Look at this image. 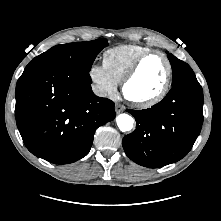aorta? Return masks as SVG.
<instances>
[{
    "label": "aorta",
    "mask_w": 221,
    "mask_h": 221,
    "mask_svg": "<svg viewBox=\"0 0 221 221\" xmlns=\"http://www.w3.org/2000/svg\"><path fill=\"white\" fill-rule=\"evenodd\" d=\"M118 128L122 132L130 131L134 125V119L128 114H120L116 117Z\"/></svg>",
    "instance_id": "762f6f07"
}]
</instances>
